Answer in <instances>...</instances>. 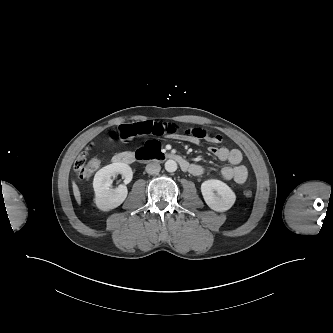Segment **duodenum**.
Here are the masks:
<instances>
[{"label": "duodenum", "mask_w": 333, "mask_h": 333, "mask_svg": "<svg viewBox=\"0 0 333 333\" xmlns=\"http://www.w3.org/2000/svg\"><path fill=\"white\" fill-rule=\"evenodd\" d=\"M135 160L138 161H167L172 160L177 162L181 169L184 172H190L194 165L189 163L183 156L175 153H162V152H155L150 148H142L136 152L132 151H124L119 153L115 157V163L118 164H131Z\"/></svg>", "instance_id": "1"}]
</instances>
